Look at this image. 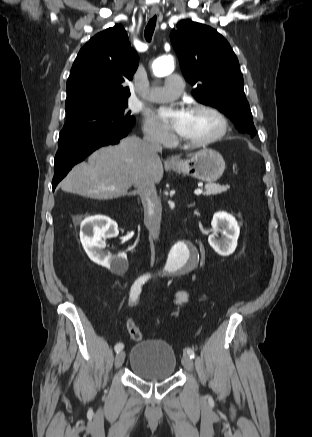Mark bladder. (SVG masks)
Masks as SVG:
<instances>
[{"label": "bladder", "instance_id": "bladder-1", "mask_svg": "<svg viewBox=\"0 0 312 437\" xmlns=\"http://www.w3.org/2000/svg\"><path fill=\"white\" fill-rule=\"evenodd\" d=\"M177 364L176 354L169 343L160 339H148L135 344L130 352L129 365L132 373L151 382L169 379Z\"/></svg>", "mask_w": 312, "mask_h": 437}]
</instances>
